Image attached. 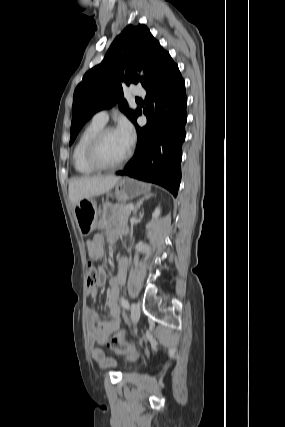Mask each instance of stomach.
<instances>
[{
    "mask_svg": "<svg viewBox=\"0 0 285 427\" xmlns=\"http://www.w3.org/2000/svg\"><path fill=\"white\" fill-rule=\"evenodd\" d=\"M149 191L150 185L132 178H121L115 185V196L120 202L148 194ZM75 217L79 230L90 233L107 227L115 220V206L105 202L99 209L93 200L83 199L75 205Z\"/></svg>",
    "mask_w": 285,
    "mask_h": 427,
    "instance_id": "1",
    "label": "stomach"
}]
</instances>
